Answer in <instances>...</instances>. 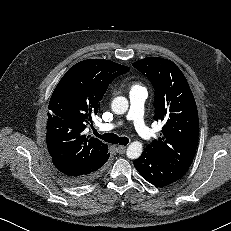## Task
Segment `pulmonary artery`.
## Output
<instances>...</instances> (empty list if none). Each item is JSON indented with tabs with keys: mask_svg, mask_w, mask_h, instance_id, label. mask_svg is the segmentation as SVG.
<instances>
[{
	"mask_svg": "<svg viewBox=\"0 0 231 231\" xmlns=\"http://www.w3.org/2000/svg\"><path fill=\"white\" fill-rule=\"evenodd\" d=\"M147 98L145 89H135L129 93V110L126 120L133 122L135 130L144 139L152 138L154 132L145 124L144 121V103ZM123 124V121L115 123L103 124L101 129L104 131H112Z\"/></svg>",
	"mask_w": 231,
	"mask_h": 231,
	"instance_id": "pulmonary-artery-1",
	"label": "pulmonary artery"
}]
</instances>
